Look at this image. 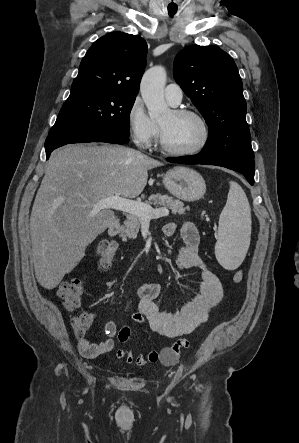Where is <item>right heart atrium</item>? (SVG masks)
<instances>
[{
  "label": "right heart atrium",
  "instance_id": "obj_1",
  "mask_svg": "<svg viewBox=\"0 0 299 443\" xmlns=\"http://www.w3.org/2000/svg\"><path fill=\"white\" fill-rule=\"evenodd\" d=\"M127 125L133 142L140 148L150 147L159 133L140 97L134 98L127 110Z\"/></svg>",
  "mask_w": 299,
  "mask_h": 443
}]
</instances>
